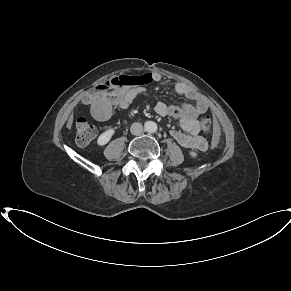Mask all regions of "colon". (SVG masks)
Returning <instances> with one entry per match:
<instances>
[{"label": "colon", "mask_w": 291, "mask_h": 291, "mask_svg": "<svg viewBox=\"0 0 291 291\" xmlns=\"http://www.w3.org/2000/svg\"><path fill=\"white\" fill-rule=\"evenodd\" d=\"M139 81V78L127 75H121L114 78H111L107 81H104L98 84L95 87L94 93L100 98L102 97L107 90L112 88H127L134 85ZM201 128L206 133H213L215 131V122L214 119L206 114L200 117L199 119ZM76 129V141L79 145H87L90 143L96 136V130L93 125H91L85 116H78L75 121ZM217 144V138H213V145Z\"/></svg>", "instance_id": "1"}]
</instances>
